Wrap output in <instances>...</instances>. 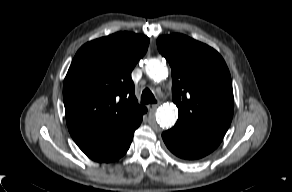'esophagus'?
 Segmentation results:
<instances>
[{"label":"esophagus","mask_w":292,"mask_h":192,"mask_svg":"<svg viewBox=\"0 0 292 192\" xmlns=\"http://www.w3.org/2000/svg\"><path fill=\"white\" fill-rule=\"evenodd\" d=\"M158 106H159V103H157V104H150V105H148V110L150 112H153V111H155L158 108Z\"/></svg>","instance_id":"34e87169"}]
</instances>
